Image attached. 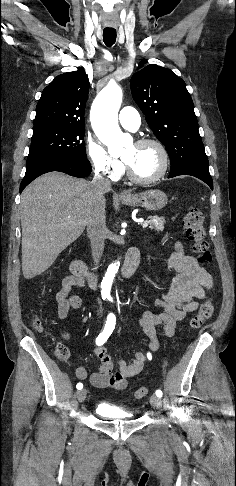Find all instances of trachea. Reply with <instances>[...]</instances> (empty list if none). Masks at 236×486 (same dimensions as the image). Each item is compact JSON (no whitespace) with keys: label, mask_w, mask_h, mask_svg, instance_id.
<instances>
[{"label":"trachea","mask_w":236,"mask_h":486,"mask_svg":"<svg viewBox=\"0 0 236 486\" xmlns=\"http://www.w3.org/2000/svg\"><path fill=\"white\" fill-rule=\"evenodd\" d=\"M103 41L108 47H111L116 41V30L105 28L103 31Z\"/></svg>","instance_id":"obj_1"}]
</instances>
